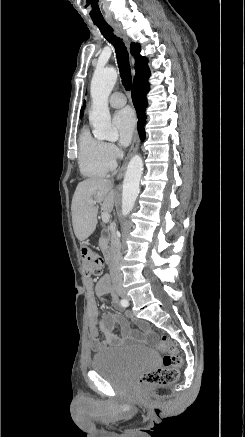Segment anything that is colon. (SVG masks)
Returning a JSON list of instances; mask_svg holds the SVG:
<instances>
[{"label": "colon", "mask_w": 245, "mask_h": 437, "mask_svg": "<svg viewBox=\"0 0 245 437\" xmlns=\"http://www.w3.org/2000/svg\"><path fill=\"white\" fill-rule=\"evenodd\" d=\"M82 271L85 276L100 275L103 272L104 262L101 257L91 248L81 249ZM159 347L165 352L163 366L144 373L139 382L141 385L164 386L175 382L179 375L182 359L178 354L177 346L162 336Z\"/></svg>", "instance_id": "1"}]
</instances>
